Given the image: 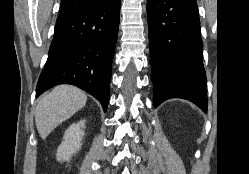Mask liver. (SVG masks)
I'll use <instances>...</instances> for the list:
<instances>
[{
  "mask_svg": "<svg viewBox=\"0 0 249 174\" xmlns=\"http://www.w3.org/2000/svg\"><path fill=\"white\" fill-rule=\"evenodd\" d=\"M86 102V94L71 85L57 86L45 94L35 110V123L40 137L45 139L58 125L82 109Z\"/></svg>",
  "mask_w": 249,
  "mask_h": 174,
  "instance_id": "1",
  "label": "liver"
}]
</instances>
